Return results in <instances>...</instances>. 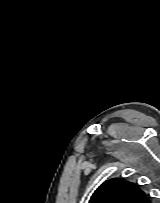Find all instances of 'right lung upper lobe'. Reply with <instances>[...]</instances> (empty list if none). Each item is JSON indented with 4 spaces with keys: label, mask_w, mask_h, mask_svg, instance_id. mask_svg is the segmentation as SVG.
Wrapping results in <instances>:
<instances>
[{
    "label": "right lung upper lobe",
    "mask_w": 160,
    "mask_h": 203,
    "mask_svg": "<svg viewBox=\"0 0 160 203\" xmlns=\"http://www.w3.org/2000/svg\"><path fill=\"white\" fill-rule=\"evenodd\" d=\"M89 203H150L145 193L132 183L114 178L104 182L93 193Z\"/></svg>",
    "instance_id": "1"
}]
</instances>
